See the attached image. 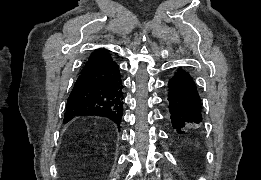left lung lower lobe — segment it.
<instances>
[{"mask_svg":"<svg viewBox=\"0 0 261 180\" xmlns=\"http://www.w3.org/2000/svg\"><path fill=\"white\" fill-rule=\"evenodd\" d=\"M169 111L173 129L180 134L203 123L202 102L192 76L178 68L169 80Z\"/></svg>","mask_w":261,"mask_h":180,"instance_id":"obj_1","label":"left lung lower lobe"}]
</instances>
